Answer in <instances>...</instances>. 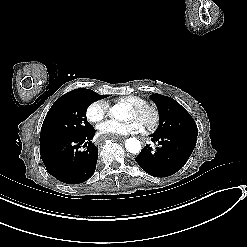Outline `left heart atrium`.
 <instances>
[{
    "label": "left heart atrium",
    "mask_w": 247,
    "mask_h": 247,
    "mask_svg": "<svg viewBox=\"0 0 247 247\" xmlns=\"http://www.w3.org/2000/svg\"><path fill=\"white\" fill-rule=\"evenodd\" d=\"M140 129L141 126L139 122L135 120L130 123H116L108 121L98 126L96 139L98 142H101L111 136L137 133Z\"/></svg>",
    "instance_id": "39dd6f15"
}]
</instances>
